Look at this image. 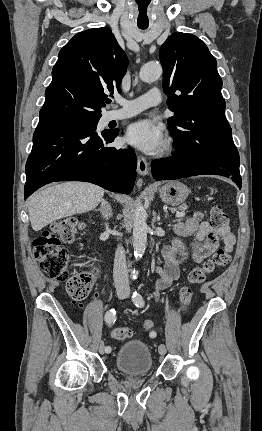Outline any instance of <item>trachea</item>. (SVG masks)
<instances>
[{
	"label": "trachea",
	"instance_id": "1",
	"mask_svg": "<svg viewBox=\"0 0 262 431\" xmlns=\"http://www.w3.org/2000/svg\"><path fill=\"white\" fill-rule=\"evenodd\" d=\"M136 1H137L139 14L146 15V12L149 6L148 0H136ZM138 27L140 29H146L148 26H138ZM110 102L111 100H109L107 103H110Z\"/></svg>",
	"mask_w": 262,
	"mask_h": 431
}]
</instances>
